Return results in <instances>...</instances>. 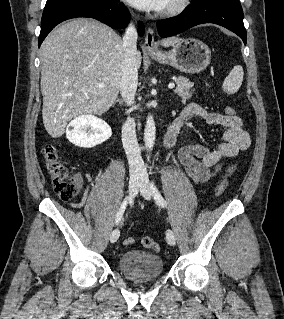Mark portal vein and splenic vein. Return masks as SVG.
I'll list each match as a JSON object with an SVG mask.
<instances>
[{
  "label": "portal vein and splenic vein",
  "instance_id": "obj_1",
  "mask_svg": "<svg viewBox=\"0 0 284 319\" xmlns=\"http://www.w3.org/2000/svg\"><path fill=\"white\" fill-rule=\"evenodd\" d=\"M98 87L99 88H104L105 87V84L104 83H100L99 85H98ZM175 87V84L174 83H169V85H168V88L169 89H173Z\"/></svg>",
  "mask_w": 284,
  "mask_h": 319
}]
</instances>
